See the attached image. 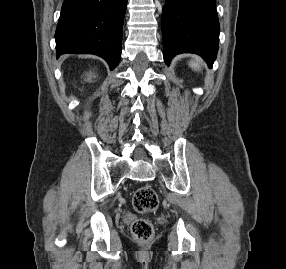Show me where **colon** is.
<instances>
[{"instance_id": "1", "label": "colon", "mask_w": 286, "mask_h": 269, "mask_svg": "<svg viewBox=\"0 0 286 269\" xmlns=\"http://www.w3.org/2000/svg\"><path fill=\"white\" fill-rule=\"evenodd\" d=\"M132 203L134 208L141 213L155 211L159 205L156 192L148 186L139 187L133 194ZM132 235L136 240L148 241L153 237L154 228L146 219L136 220L131 227Z\"/></svg>"}]
</instances>
